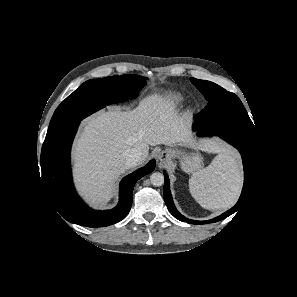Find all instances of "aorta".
<instances>
[{"instance_id":"1","label":"aorta","mask_w":297,"mask_h":297,"mask_svg":"<svg viewBox=\"0 0 297 297\" xmlns=\"http://www.w3.org/2000/svg\"><path fill=\"white\" fill-rule=\"evenodd\" d=\"M150 182L153 186H161L164 183V176L159 172H154L150 176Z\"/></svg>"}]
</instances>
